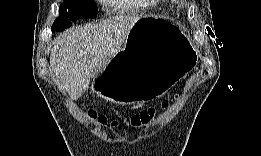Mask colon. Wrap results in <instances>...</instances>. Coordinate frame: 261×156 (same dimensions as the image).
<instances>
[{
    "label": "colon",
    "instance_id": "obj_1",
    "mask_svg": "<svg viewBox=\"0 0 261 156\" xmlns=\"http://www.w3.org/2000/svg\"><path fill=\"white\" fill-rule=\"evenodd\" d=\"M168 105V100H164L161 104L162 107H166ZM156 108L155 107H150L144 110H141L139 112H136L132 114L129 118H127L124 123L128 126H133V127H140L142 125L147 124L155 115ZM90 116L94 119H97L99 122L102 124H107L108 121L107 119L100 115H96L94 112L89 113ZM119 121H112L111 125H118Z\"/></svg>",
    "mask_w": 261,
    "mask_h": 156
}]
</instances>
